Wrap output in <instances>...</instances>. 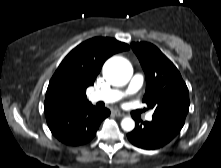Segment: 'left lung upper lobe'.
Segmentation results:
<instances>
[{
	"label": "left lung upper lobe",
	"instance_id": "left-lung-upper-lobe-1",
	"mask_svg": "<svg viewBox=\"0 0 221 168\" xmlns=\"http://www.w3.org/2000/svg\"><path fill=\"white\" fill-rule=\"evenodd\" d=\"M146 76L143 102L154 110L152 118L182 129L189 111L188 88L175 65L154 45L132 43Z\"/></svg>",
	"mask_w": 221,
	"mask_h": 168
}]
</instances>
